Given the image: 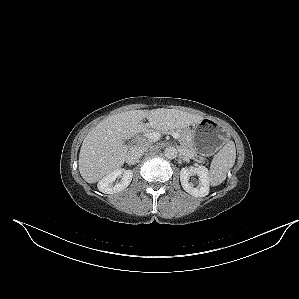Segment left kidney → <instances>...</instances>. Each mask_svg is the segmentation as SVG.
Here are the masks:
<instances>
[{
	"mask_svg": "<svg viewBox=\"0 0 299 299\" xmlns=\"http://www.w3.org/2000/svg\"><path fill=\"white\" fill-rule=\"evenodd\" d=\"M192 174H197L199 179V184L196 187L189 183V176ZM180 182L183 189L194 197H205L209 193V172L205 166L182 168Z\"/></svg>",
	"mask_w": 299,
	"mask_h": 299,
	"instance_id": "left-kidney-1",
	"label": "left kidney"
}]
</instances>
